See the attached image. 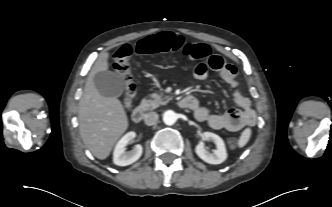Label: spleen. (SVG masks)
<instances>
[{
    "mask_svg": "<svg viewBox=\"0 0 332 207\" xmlns=\"http://www.w3.org/2000/svg\"><path fill=\"white\" fill-rule=\"evenodd\" d=\"M250 137H251V129L247 128L242 132V134L239 138V141H238L239 148L244 147L248 143Z\"/></svg>",
    "mask_w": 332,
    "mask_h": 207,
    "instance_id": "3e777b00",
    "label": "spleen"
}]
</instances>
